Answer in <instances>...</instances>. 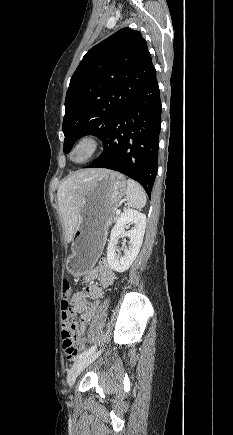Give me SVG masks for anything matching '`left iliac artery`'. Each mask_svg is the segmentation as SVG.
Here are the masks:
<instances>
[{
	"label": "left iliac artery",
	"instance_id": "left-iliac-artery-1",
	"mask_svg": "<svg viewBox=\"0 0 233 435\" xmlns=\"http://www.w3.org/2000/svg\"><path fill=\"white\" fill-rule=\"evenodd\" d=\"M95 349H96V345H94L91 348H89L88 350L82 352L77 358H82L84 356L90 355L95 351Z\"/></svg>",
	"mask_w": 233,
	"mask_h": 435
}]
</instances>
